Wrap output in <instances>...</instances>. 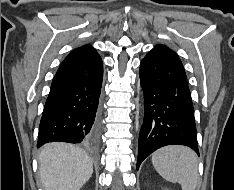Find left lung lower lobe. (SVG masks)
<instances>
[{
    "mask_svg": "<svg viewBox=\"0 0 234 190\" xmlns=\"http://www.w3.org/2000/svg\"><path fill=\"white\" fill-rule=\"evenodd\" d=\"M145 113L138 141L137 170L152 152L185 145L198 155L194 108L183 64L165 45H156L141 61Z\"/></svg>",
    "mask_w": 234,
    "mask_h": 190,
    "instance_id": "1",
    "label": "left lung lower lobe"
}]
</instances>
